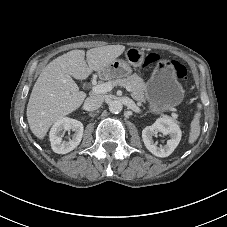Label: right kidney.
<instances>
[{"label": "right kidney", "mask_w": 227, "mask_h": 227, "mask_svg": "<svg viewBox=\"0 0 227 227\" xmlns=\"http://www.w3.org/2000/svg\"><path fill=\"white\" fill-rule=\"evenodd\" d=\"M73 130L74 134L68 141L62 140V132ZM83 124L68 117L59 119L51 128L49 138L52 150L58 154H66L76 148L83 136Z\"/></svg>", "instance_id": "ca27d5eb"}]
</instances>
